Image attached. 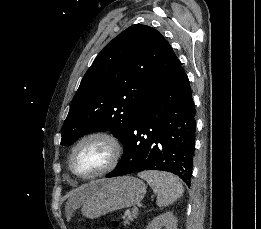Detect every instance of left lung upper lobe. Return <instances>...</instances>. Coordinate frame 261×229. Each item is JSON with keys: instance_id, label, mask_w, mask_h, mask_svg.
<instances>
[{"instance_id": "5c2ea615", "label": "left lung upper lobe", "mask_w": 261, "mask_h": 229, "mask_svg": "<svg viewBox=\"0 0 261 229\" xmlns=\"http://www.w3.org/2000/svg\"><path fill=\"white\" fill-rule=\"evenodd\" d=\"M180 66L159 31L141 24L128 27L85 73L62 126L61 145L106 130L124 143L149 94Z\"/></svg>"}]
</instances>
